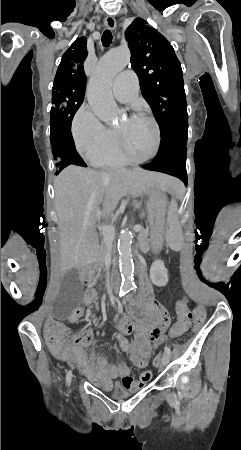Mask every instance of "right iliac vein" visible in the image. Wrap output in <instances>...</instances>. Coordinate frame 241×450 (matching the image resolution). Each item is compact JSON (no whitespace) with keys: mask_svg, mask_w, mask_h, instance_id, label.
<instances>
[{"mask_svg":"<svg viewBox=\"0 0 241 450\" xmlns=\"http://www.w3.org/2000/svg\"><path fill=\"white\" fill-rule=\"evenodd\" d=\"M71 372H68L67 373V379H66V384H67V386H70V383H71Z\"/></svg>","mask_w":241,"mask_h":450,"instance_id":"63e3f726","label":"right iliac vein"}]
</instances>
